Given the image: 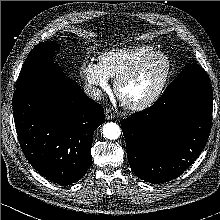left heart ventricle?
<instances>
[{
    "mask_svg": "<svg viewBox=\"0 0 220 220\" xmlns=\"http://www.w3.org/2000/svg\"><path fill=\"white\" fill-rule=\"evenodd\" d=\"M165 67L166 63L162 57L151 59L142 72L123 87L122 94L124 99L137 101L144 98L157 84Z\"/></svg>",
    "mask_w": 220,
    "mask_h": 220,
    "instance_id": "left-heart-ventricle-1",
    "label": "left heart ventricle"
}]
</instances>
